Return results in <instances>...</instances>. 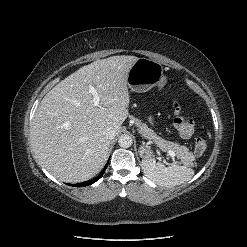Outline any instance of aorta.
Returning a JSON list of instances; mask_svg holds the SVG:
<instances>
[{
    "mask_svg": "<svg viewBox=\"0 0 247 247\" xmlns=\"http://www.w3.org/2000/svg\"><path fill=\"white\" fill-rule=\"evenodd\" d=\"M133 143L131 136L123 134L119 137L118 144L122 148H129Z\"/></svg>",
    "mask_w": 247,
    "mask_h": 247,
    "instance_id": "1",
    "label": "aorta"
}]
</instances>
